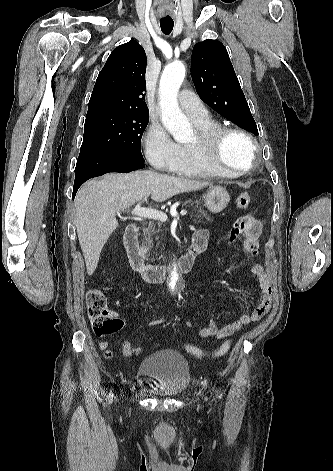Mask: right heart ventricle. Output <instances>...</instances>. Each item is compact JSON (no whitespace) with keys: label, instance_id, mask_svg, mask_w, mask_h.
<instances>
[{"label":"right heart ventricle","instance_id":"obj_1","mask_svg":"<svg viewBox=\"0 0 333 471\" xmlns=\"http://www.w3.org/2000/svg\"><path fill=\"white\" fill-rule=\"evenodd\" d=\"M193 122L199 132L220 126V124L213 120L209 115L200 120H193ZM170 171L180 176L194 178L237 176L218 171L216 168L211 166L197 151H195L191 144L180 146L178 161Z\"/></svg>","mask_w":333,"mask_h":471}]
</instances>
